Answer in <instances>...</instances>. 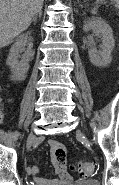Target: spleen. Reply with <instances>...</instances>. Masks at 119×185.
I'll return each mask as SVG.
<instances>
[{
  "label": "spleen",
  "instance_id": "1",
  "mask_svg": "<svg viewBox=\"0 0 119 185\" xmlns=\"http://www.w3.org/2000/svg\"><path fill=\"white\" fill-rule=\"evenodd\" d=\"M116 3V7L119 9V0H113Z\"/></svg>",
  "mask_w": 119,
  "mask_h": 185
}]
</instances>
